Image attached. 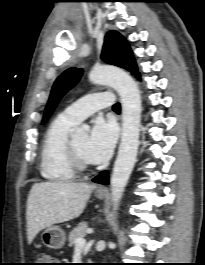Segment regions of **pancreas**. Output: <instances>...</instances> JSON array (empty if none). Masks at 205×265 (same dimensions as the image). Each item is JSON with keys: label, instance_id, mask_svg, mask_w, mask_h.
I'll use <instances>...</instances> for the list:
<instances>
[{"label": "pancreas", "instance_id": "pancreas-1", "mask_svg": "<svg viewBox=\"0 0 205 265\" xmlns=\"http://www.w3.org/2000/svg\"><path fill=\"white\" fill-rule=\"evenodd\" d=\"M87 223L81 222L78 224L77 227H75L69 234V246L72 247L76 244V239L79 237H83L86 235L87 231Z\"/></svg>", "mask_w": 205, "mask_h": 265}]
</instances>
